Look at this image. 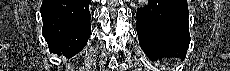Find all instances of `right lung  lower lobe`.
Wrapping results in <instances>:
<instances>
[{"instance_id":"right-lung-lower-lobe-1","label":"right lung lower lobe","mask_w":230,"mask_h":71,"mask_svg":"<svg viewBox=\"0 0 230 71\" xmlns=\"http://www.w3.org/2000/svg\"><path fill=\"white\" fill-rule=\"evenodd\" d=\"M91 0H43L42 34L50 51L73 57L86 45L90 33Z\"/></svg>"}]
</instances>
